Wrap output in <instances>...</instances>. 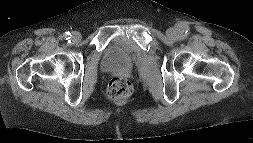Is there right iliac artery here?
Segmentation results:
<instances>
[{
    "instance_id": "1",
    "label": "right iliac artery",
    "mask_w": 253,
    "mask_h": 143,
    "mask_svg": "<svg viewBox=\"0 0 253 143\" xmlns=\"http://www.w3.org/2000/svg\"><path fill=\"white\" fill-rule=\"evenodd\" d=\"M69 36H71V34L69 32H65L66 39L69 38Z\"/></svg>"
}]
</instances>
